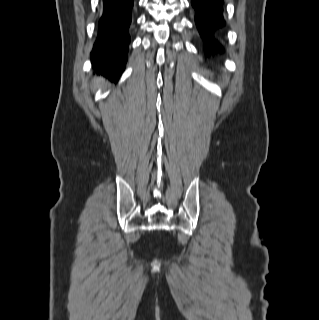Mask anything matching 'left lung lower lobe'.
I'll list each match as a JSON object with an SVG mask.
<instances>
[{"mask_svg":"<svg viewBox=\"0 0 319 320\" xmlns=\"http://www.w3.org/2000/svg\"><path fill=\"white\" fill-rule=\"evenodd\" d=\"M192 6L195 9L196 25L205 40V48L213 51L217 47L213 33L225 25L223 0H192Z\"/></svg>","mask_w":319,"mask_h":320,"instance_id":"0a47b994","label":"left lung lower lobe"}]
</instances>
